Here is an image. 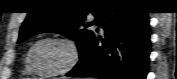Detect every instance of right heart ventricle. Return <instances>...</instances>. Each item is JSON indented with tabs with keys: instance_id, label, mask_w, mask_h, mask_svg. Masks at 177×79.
Listing matches in <instances>:
<instances>
[{
	"instance_id": "obj_1",
	"label": "right heart ventricle",
	"mask_w": 177,
	"mask_h": 79,
	"mask_svg": "<svg viewBox=\"0 0 177 79\" xmlns=\"http://www.w3.org/2000/svg\"><path fill=\"white\" fill-rule=\"evenodd\" d=\"M24 72L28 73V74H32L33 70L30 68L29 64H28V54L25 58V62H24Z\"/></svg>"
}]
</instances>
